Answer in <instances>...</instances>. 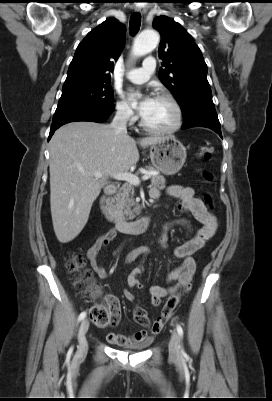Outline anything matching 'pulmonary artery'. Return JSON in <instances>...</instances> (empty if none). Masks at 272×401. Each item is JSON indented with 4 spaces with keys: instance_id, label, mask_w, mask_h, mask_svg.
<instances>
[{
    "instance_id": "1",
    "label": "pulmonary artery",
    "mask_w": 272,
    "mask_h": 401,
    "mask_svg": "<svg viewBox=\"0 0 272 401\" xmlns=\"http://www.w3.org/2000/svg\"><path fill=\"white\" fill-rule=\"evenodd\" d=\"M156 67V62L153 58H147L143 62L141 68H135L127 73V78L136 84H141L146 82L150 76L153 74Z\"/></svg>"
}]
</instances>
